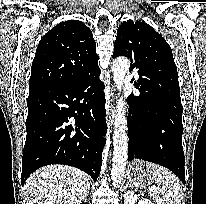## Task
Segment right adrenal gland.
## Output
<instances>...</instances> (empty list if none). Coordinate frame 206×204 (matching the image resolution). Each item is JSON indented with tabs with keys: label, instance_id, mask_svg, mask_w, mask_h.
<instances>
[{
	"label": "right adrenal gland",
	"instance_id": "obj_1",
	"mask_svg": "<svg viewBox=\"0 0 206 204\" xmlns=\"http://www.w3.org/2000/svg\"><path fill=\"white\" fill-rule=\"evenodd\" d=\"M89 190H90V187L88 188V191H87V193H86L85 200H86V198H87V196H88V194H89Z\"/></svg>",
	"mask_w": 206,
	"mask_h": 204
}]
</instances>
